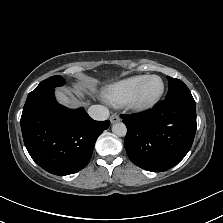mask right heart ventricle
<instances>
[{"label": "right heart ventricle", "instance_id": "1", "mask_svg": "<svg viewBox=\"0 0 223 223\" xmlns=\"http://www.w3.org/2000/svg\"><path fill=\"white\" fill-rule=\"evenodd\" d=\"M143 77L144 75H134L111 85L104 91L105 100L114 107L123 106Z\"/></svg>", "mask_w": 223, "mask_h": 223}]
</instances>
